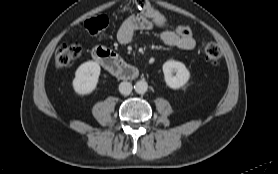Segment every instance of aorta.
Wrapping results in <instances>:
<instances>
[{"label": "aorta", "instance_id": "obj_1", "mask_svg": "<svg viewBox=\"0 0 278 174\" xmlns=\"http://www.w3.org/2000/svg\"><path fill=\"white\" fill-rule=\"evenodd\" d=\"M134 89L138 94H144L148 89V84L144 80L137 81L134 85Z\"/></svg>", "mask_w": 278, "mask_h": 174}]
</instances>
